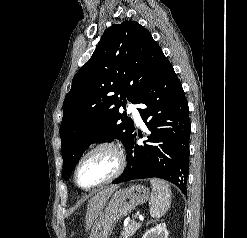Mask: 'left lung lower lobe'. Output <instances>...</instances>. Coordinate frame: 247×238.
I'll return each instance as SVG.
<instances>
[{
    "instance_id": "1",
    "label": "left lung lower lobe",
    "mask_w": 247,
    "mask_h": 238,
    "mask_svg": "<svg viewBox=\"0 0 247 238\" xmlns=\"http://www.w3.org/2000/svg\"><path fill=\"white\" fill-rule=\"evenodd\" d=\"M140 103L147 106L139 112L151 134L147 143L137 145V134L133 132L126 146L128 164L113 183L156 177L175 184L185 194L191 132L189 108L182 85L167 58Z\"/></svg>"
}]
</instances>
